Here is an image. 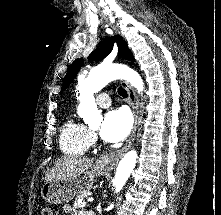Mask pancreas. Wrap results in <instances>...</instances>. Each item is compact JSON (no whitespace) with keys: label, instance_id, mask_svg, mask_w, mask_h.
Returning a JSON list of instances; mask_svg holds the SVG:
<instances>
[{"label":"pancreas","instance_id":"pancreas-1","mask_svg":"<svg viewBox=\"0 0 221 215\" xmlns=\"http://www.w3.org/2000/svg\"><path fill=\"white\" fill-rule=\"evenodd\" d=\"M90 195L89 191H84L82 194H80L74 201L73 207L75 209L77 208H83L86 206V202L83 201V198Z\"/></svg>","mask_w":221,"mask_h":215}]
</instances>
